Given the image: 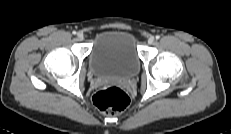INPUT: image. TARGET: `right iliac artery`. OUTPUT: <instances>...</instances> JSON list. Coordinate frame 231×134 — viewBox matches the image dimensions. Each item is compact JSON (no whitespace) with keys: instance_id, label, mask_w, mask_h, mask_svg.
<instances>
[{"instance_id":"right-iliac-artery-1","label":"right iliac artery","mask_w":231,"mask_h":134,"mask_svg":"<svg viewBox=\"0 0 231 134\" xmlns=\"http://www.w3.org/2000/svg\"><path fill=\"white\" fill-rule=\"evenodd\" d=\"M76 33H77L76 31H73V32H72V34H74V35H75Z\"/></svg>"}]
</instances>
